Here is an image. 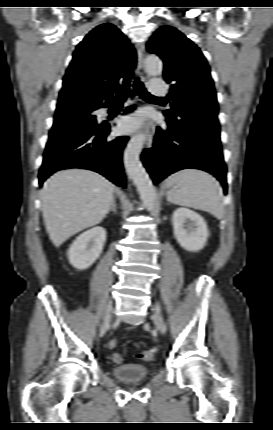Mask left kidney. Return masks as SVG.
Segmentation results:
<instances>
[{
  "mask_svg": "<svg viewBox=\"0 0 273 430\" xmlns=\"http://www.w3.org/2000/svg\"><path fill=\"white\" fill-rule=\"evenodd\" d=\"M174 236L182 248L197 252L206 245L209 231L204 218L188 208H178L172 217Z\"/></svg>",
  "mask_w": 273,
  "mask_h": 430,
  "instance_id": "left-kidney-1",
  "label": "left kidney"
}]
</instances>
